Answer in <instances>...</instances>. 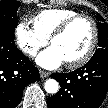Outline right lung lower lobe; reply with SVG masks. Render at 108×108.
Segmentation results:
<instances>
[{"label": "right lung lower lobe", "mask_w": 108, "mask_h": 108, "mask_svg": "<svg viewBox=\"0 0 108 108\" xmlns=\"http://www.w3.org/2000/svg\"><path fill=\"white\" fill-rule=\"evenodd\" d=\"M39 79L38 69L0 33V108H15L26 85Z\"/></svg>", "instance_id": "obj_1"}]
</instances>
